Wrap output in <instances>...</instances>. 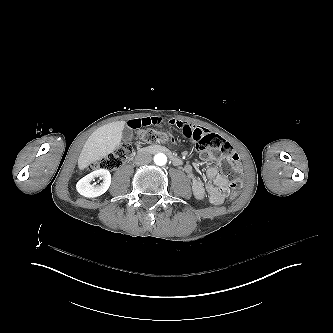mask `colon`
Returning a JSON list of instances; mask_svg holds the SVG:
<instances>
[{"label": "colon", "mask_w": 333, "mask_h": 333, "mask_svg": "<svg viewBox=\"0 0 333 333\" xmlns=\"http://www.w3.org/2000/svg\"><path fill=\"white\" fill-rule=\"evenodd\" d=\"M182 129L186 139H193L195 142V151L197 153H204L208 148H211L213 152H221L226 158L223 163L224 172L227 175H231L230 188L232 199L237 197L239 187L242 183V166L238 153L234 148L221 136L206 133L201 128H194L191 123H181ZM138 137L148 146H159L168 142H173L174 137L169 132H158L153 130H145L142 132H136ZM133 153V147L129 143H123L114 152L107 157L100 159L97 164V169L110 170L120 166V160H127Z\"/></svg>", "instance_id": "1"}]
</instances>
